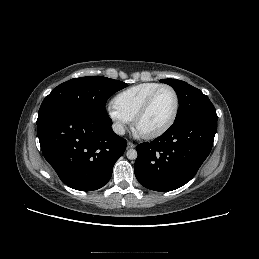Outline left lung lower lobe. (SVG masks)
<instances>
[{
  "label": "left lung lower lobe",
  "mask_w": 259,
  "mask_h": 259,
  "mask_svg": "<svg viewBox=\"0 0 259 259\" xmlns=\"http://www.w3.org/2000/svg\"><path fill=\"white\" fill-rule=\"evenodd\" d=\"M218 117L192 115L174 121L161 136L137 146L134 172L139 183L167 192L189 182L213 146Z\"/></svg>",
  "instance_id": "obj_1"
}]
</instances>
